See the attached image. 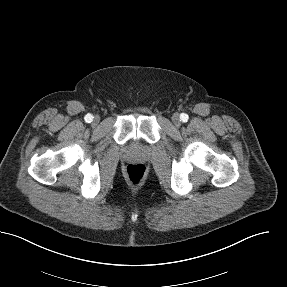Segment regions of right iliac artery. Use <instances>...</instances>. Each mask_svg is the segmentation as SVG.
I'll list each match as a JSON object with an SVG mask.
<instances>
[{
    "mask_svg": "<svg viewBox=\"0 0 287 287\" xmlns=\"http://www.w3.org/2000/svg\"><path fill=\"white\" fill-rule=\"evenodd\" d=\"M84 119L87 123H90L93 120V116L91 114H87Z\"/></svg>",
    "mask_w": 287,
    "mask_h": 287,
    "instance_id": "obj_1",
    "label": "right iliac artery"
}]
</instances>
